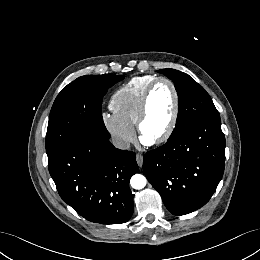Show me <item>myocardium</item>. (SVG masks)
<instances>
[{
    "label": "myocardium",
    "mask_w": 260,
    "mask_h": 260,
    "mask_svg": "<svg viewBox=\"0 0 260 260\" xmlns=\"http://www.w3.org/2000/svg\"><path fill=\"white\" fill-rule=\"evenodd\" d=\"M160 83H166L170 86V88L173 92V96H174V109H173L170 123H169L166 131L160 137L147 142L148 144H155V145L165 143L166 141H168L171 138V136L173 135V133L176 129L178 119H179V113H180V95H179L176 85L170 79L165 78V77H159V78L155 79L151 83V85L148 87L145 94L143 95V98H142V101L140 104V108H139V112H138L136 128H137V131H138V134H139L141 140L144 141V139H143L144 137L142 134V125H143V122L148 113L150 98H151V95L154 92L155 88Z\"/></svg>",
    "instance_id": "1"
}]
</instances>
